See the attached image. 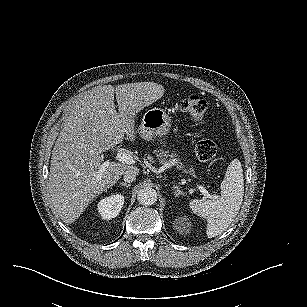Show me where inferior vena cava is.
<instances>
[{
  "label": "inferior vena cava",
  "instance_id": "obj_1",
  "mask_svg": "<svg viewBox=\"0 0 307 307\" xmlns=\"http://www.w3.org/2000/svg\"><path fill=\"white\" fill-rule=\"evenodd\" d=\"M123 180L126 183H132L136 180V174L131 171H127L123 176Z\"/></svg>",
  "mask_w": 307,
  "mask_h": 307
}]
</instances>
